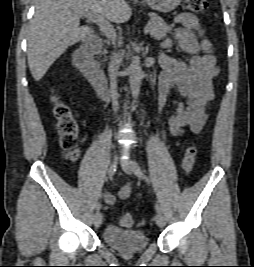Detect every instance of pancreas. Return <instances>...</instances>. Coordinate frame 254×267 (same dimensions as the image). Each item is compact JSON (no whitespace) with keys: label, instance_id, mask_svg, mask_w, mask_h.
Instances as JSON below:
<instances>
[{"label":"pancreas","instance_id":"cf45deb5","mask_svg":"<svg viewBox=\"0 0 254 267\" xmlns=\"http://www.w3.org/2000/svg\"><path fill=\"white\" fill-rule=\"evenodd\" d=\"M149 27L148 33L155 39H163L171 31V26L168 25L159 15L150 14V20L147 25Z\"/></svg>","mask_w":254,"mask_h":267}]
</instances>
